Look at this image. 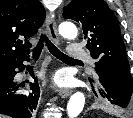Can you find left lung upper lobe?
<instances>
[{
	"label": "left lung upper lobe",
	"mask_w": 133,
	"mask_h": 118,
	"mask_svg": "<svg viewBox=\"0 0 133 118\" xmlns=\"http://www.w3.org/2000/svg\"><path fill=\"white\" fill-rule=\"evenodd\" d=\"M63 17L82 25L86 47L96 59V68L105 70L133 91L126 47L121 39L118 20L108 5L103 0H72L64 7Z\"/></svg>",
	"instance_id": "obj_1"
}]
</instances>
